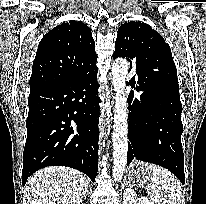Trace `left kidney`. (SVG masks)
<instances>
[{"instance_id":"left-kidney-1","label":"left kidney","mask_w":206,"mask_h":204,"mask_svg":"<svg viewBox=\"0 0 206 204\" xmlns=\"http://www.w3.org/2000/svg\"><path fill=\"white\" fill-rule=\"evenodd\" d=\"M123 204H154L146 197L138 198L133 189L127 188L123 193Z\"/></svg>"}]
</instances>
